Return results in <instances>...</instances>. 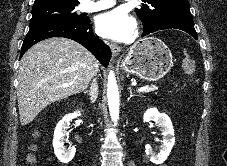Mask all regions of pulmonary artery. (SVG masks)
<instances>
[{"mask_svg": "<svg viewBox=\"0 0 227 166\" xmlns=\"http://www.w3.org/2000/svg\"><path fill=\"white\" fill-rule=\"evenodd\" d=\"M115 0H88L80 5V9L86 12H96L114 6Z\"/></svg>", "mask_w": 227, "mask_h": 166, "instance_id": "1", "label": "pulmonary artery"}]
</instances>
